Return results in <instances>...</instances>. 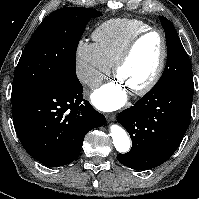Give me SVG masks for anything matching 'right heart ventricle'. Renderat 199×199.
I'll list each match as a JSON object with an SVG mask.
<instances>
[{"instance_id": "obj_1", "label": "right heart ventricle", "mask_w": 199, "mask_h": 199, "mask_svg": "<svg viewBox=\"0 0 199 199\" xmlns=\"http://www.w3.org/2000/svg\"><path fill=\"white\" fill-rule=\"evenodd\" d=\"M150 26L139 19H112L98 26L92 36L102 56L110 65L127 43Z\"/></svg>"}]
</instances>
